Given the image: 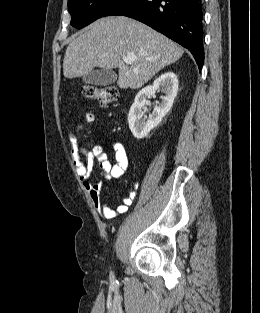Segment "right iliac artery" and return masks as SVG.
Here are the masks:
<instances>
[{
	"label": "right iliac artery",
	"instance_id": "obj_1",
	"mask_svg": "<svg viewBox=\"0 0 260 313\" xmlns=\"http://www.w3.org/2000/svg\"><path fill=\"white\" fill-rule=\"evenodd\" d=\"M110 278H111V279H114V275H113L112 272H110Z\"/></svg>",
	"mask_w": 260,
	"mask_h": 313
}]
</instances>
